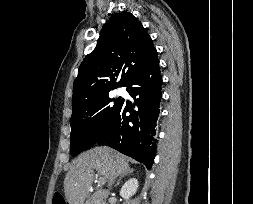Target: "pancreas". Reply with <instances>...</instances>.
Listing matches in <instances>:
<instances>
[{
	"instance_id": "cf45deb5",
	"label": "pancreas",
	"mask_w": 253,
	"mask_h": 204,
	"mask_svg": "<svg viewBox=\"0 0 253 204\" xmlns=\"http://www.w3.org/2000/svg\"><path fill=\"white\" fill-rule=\"evenodd\" d=\"M92 204H99L97 201L93 202Z\"/></svg>"
}]
</instances>
